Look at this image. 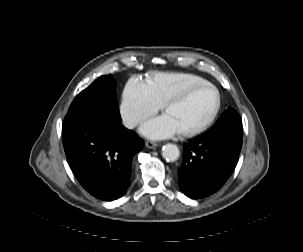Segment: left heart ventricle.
I'll list each match as a JSON object with an SVG mask.
<instances>
[{"label": "left heart ventricle", "instance_id": "obj_1", "mask_svg": "<svg viewBox=\"0 0 303 252\" xmlns=\"http://www.w3.org/2000/svg\"><path fill=\"white\" fill-rule=\"evenodd\" d=\"M215 105V94L209 87L192 92L185 101L172 105L166 114L179 130L190 129L203 124Z\"/></svg>", "mask_w": 303, "mask_h": 252}]
</instances>
